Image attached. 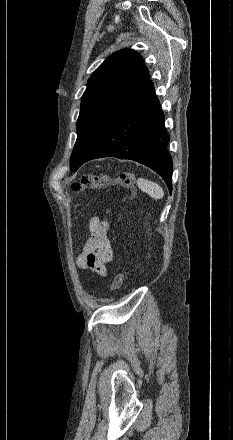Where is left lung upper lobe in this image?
Wrapping results in <instances>:
<instances>
[{"label":"left lung upper lobe","mask_w":233,"mask_h":440,"mask_svg":"<svg viewBox=\"0 0 233 440\" xmlns=\"http://www.w3.org/2000/svg\"><path fill=\"white\" fill-rule=\"evenodd\" d=\"M149 72L142 57L123 49L110 55L91 75L81 99L71 168L77 170L115 117L143 89Z\"/></svg>","instance_id":"5c2ea615"}]
</instances>
